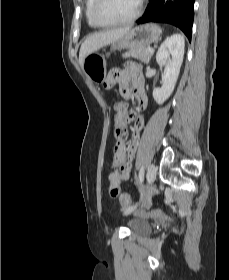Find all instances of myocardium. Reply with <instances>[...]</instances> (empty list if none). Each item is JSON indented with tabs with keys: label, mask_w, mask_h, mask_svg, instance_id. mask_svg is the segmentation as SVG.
Here are the masks:
<instances>
[{
	"label": "myocardium",
	"mask_w": 229,
	"mask_h": 280,
	"mask_svg": "<svg viewBox=\"0 0 229 280\" xmlns=\"http://www.w3.org/2000/svg\"><path fill=\"white\" fill-rule=\"evenodd\" d=\"M105 0H95L92 10V19L98 27H116L133 23L142 13L145 0H139L136 11L128 18L122 20L105 21L100 17V9Z\"/></svg>",
	"instance_id": "obj_1"
}]
</instances>
